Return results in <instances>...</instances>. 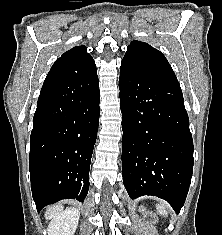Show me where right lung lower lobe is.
<instances>
[{
	"mask_svg": "<svg viewBox=\"0 0 222 235\" xmlns=\"http://www.w3.org/2000/svg\"><path fill=\"white\" fill-rule=\"evenodd\" d=\"M97 70L44 81L30 137L29 170L37 211L62 199L83 202L100 116Z\"/></svg>",
	"mask_w": 222,
	"mask_h": 235,
	"instance_id": "98d812e1",
	"label": "right lung lower lobe"
}]
</instances>
